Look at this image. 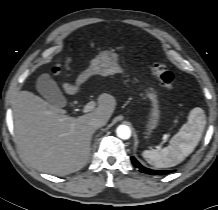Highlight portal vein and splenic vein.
<instances>
[{"instance_id":"18ae733b","label":"portal vein and splenic vein","mask_w":218,"mask_h":210,"mask_svg":"<svg viewBox=\"0 0 218 210\" xmlns=\"http://www.w3.org/2000/svg\"><path fill=\"white\" fill-rule=\"evenodd\" d=\"M95 106H96V103L94 101H90L84 106V108L82 109V112L88 113L92 111L95 108Z\"/></svg>"}]
</instances>
